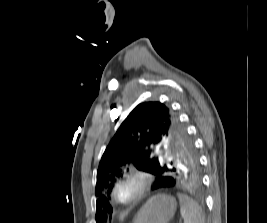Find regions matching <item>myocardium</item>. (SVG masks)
<instances>
[{"instance_id":"1","label":"myocardium","mask_w":267,"mask_h":223,"mask_svg":"<svg viewBox=\"0 0 267 223\" xmlns=\"http://www.w3.org/2000/svg\"><path fill=\"white\" fill-rule=\"evenodd\" d=\"M128 183L134 184L136 190L131 196L127 198H121L118 194L119 189L124 184ZM151 183H152V177L150 173L144 170L132 168L127 173L121 175L114 182L111 190V195L117 203L122 205H131L133 203L138 202L146 194V192L151 187Z\"/></svg>"}]
</instances>
